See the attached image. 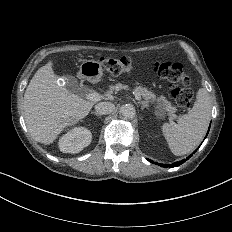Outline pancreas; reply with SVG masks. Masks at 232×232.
I'll list each match as a JSON object with an SVG mask.
<instances>
[{"mask_svg":"<svg viewBox=\"0 0 232 232\" xmlns=\"http://www.w3.org/2000/svg\"><path fill=\"white\" fill-rule=\"evenodd\" d=\"M120 88H122V85L118 84L116 86V89L118 90ZM123 88H126V86H124ZM134 93H135V95L141 96L145 101L151 102L153 106L156 103L161 104L164 107V110L168 115H172L173 113H175L177 111V108L175 106H172L171 102L169 100H167L165 97L157 96L145 88L138 87L134 91Z\"/></svg>","mask_w":232,"mask_h":232,"instance_id":"pancreas-1","label":"pancreas"}]
</instances>
